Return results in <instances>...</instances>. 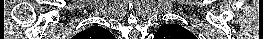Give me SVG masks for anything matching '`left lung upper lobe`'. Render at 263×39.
<instances>
[{
    "instance_id": "1",
    "label": "left lung upper lobe",
    "mask_w": 263,
    "mask_h": 39,
    "mask_svg": "<svg viewBox=\"0 0 263 39\" xmlns=\"http://www.w3.org/2000/svg\"><path fill=\"white\" fill-rule=\"evenodd\" d=\"M155 39H197L196 36L186 28L172 23L162 25L155 34Z\"/></svg>"
}]
</instances>
